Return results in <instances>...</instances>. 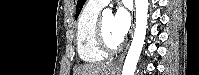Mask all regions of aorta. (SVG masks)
I'll return each mask as SVG.
<instances>
[{"label": "aorta", "instance_id": "762f6f07", "mask_svg": "<svg viewBox=\"0 0 199 75\" xmlns=\"http://www.w3.org/2000/svg\"><path fill=\"white\" fill-rule=\"evenodd\" d=\"M135 7L136 27L134 37L123 66L122 75H134L146 36L148 0H135ZM102 16L103 18L111 17L112 11L107 8L102 12Z\"/></svg>", "mask_w": 199, "mask_h": 75}]
</instances>
